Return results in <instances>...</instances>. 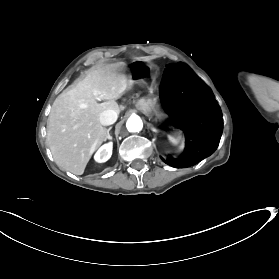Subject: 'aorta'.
Listing matches in <instances>:
<instances>
[{
  "label": "aorta",
  "instance_id": "762f6f07",
  "mask_svg": "<svg viewBox=\"0 0 279 279\" xmlns=\"http://www.w3.org/2000/svg\"><path fill=\"white\" fill-rule=\"evenodd\" d=\"M126 127L129 132H139L143 128V122L139 116H131L127 120Z\"/></svg>",
  "mask_w": 279,
  "mask_h": 279
}]
</instances>
